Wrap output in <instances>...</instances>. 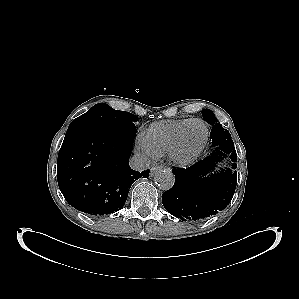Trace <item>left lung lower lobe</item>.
Instances as JSON below:
<instances>
[{
	"instance_id": "obj_1",
	"label": "left lung lower lobe",
	"mask_w": 299,
	"mask_h": 299,
	"mask_svg": "<svg viewBox=\"0 0 299 299\" xmlns=\"http://www.w3.org/2000/svg\"><path fill=\"white\" fill-rule=\"evenodd\" d=\"M207 158L186 169H173L175 183L162 194L164 208L172 215L186 220H202L222 211L232 200L237 184V154L234 143H221ZM230 156L232 169L207 176L225 157Z\"/></svg>"
}]
</instances>
